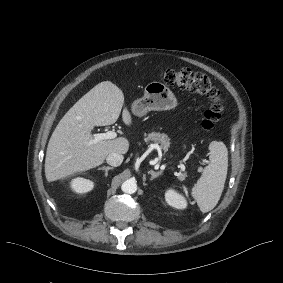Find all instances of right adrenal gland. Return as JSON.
Listing matches in <instances>:
<instances>
[{
  "instance_id": "right-adrenal-gland-1",
  "label": "right adrenal gland",
  "mask_w": 283,
  "mask_h": 283,
  "mask_svg": "<svg viewBox=\"0 0 283 283\" xmlns=\"http://www.w3.org/2000/svg\"><path fill=\"white\" fill-rule=\"evenodd\" d=\"M112 169H114V167H109V166H103V167H100V168H98V170H105V176L107 177L108 176V171L109 170H112Z\"/></svg>"
}]
</instances>
